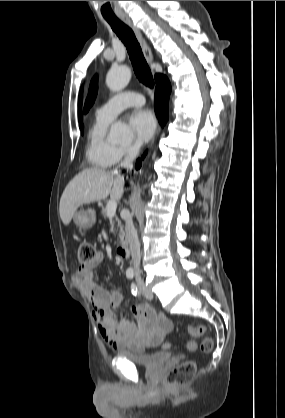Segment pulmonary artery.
Returning a JSON list of instances; mask_svg holds the SVG:
<instances>
[{
    "label": "pulmonary artery",
    "instance_id": "1",
    "mask_svg": "<svg viewBox=\"0 0 285 418\" xmlns=\"http://www.w3.org/2000/svg\"><path fill=\"white\" fill-rule=\"evenodd\" d=\"M145 103L142 95L133 92H123L112 97L96 111V118L112 121L121 111L131 106H141Z\"/></svg>",
    "mask_w": 285,
    "mask_h": 418
}]
</instances>
